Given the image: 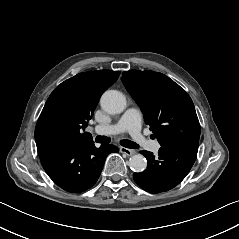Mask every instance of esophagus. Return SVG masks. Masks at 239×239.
Listing matches in <instances>:
<instances>
[{
    "instance_id": "esophagus-1",
    "label": "esophagus",
    "mask_w": 239,
    "mask_h": 239,
    "mask_svg": "<svg viewBox=\"0 0 239 239\" xmlns=\"http://www.w3.org/2000/svg\"><path fill=\"white\" fill-rule=\"evenodd\" d=\"M120 152L126 154L127 156H132L135 154L134 150H131L125 147H120Z\"/></svg>"
}]
</instances>
